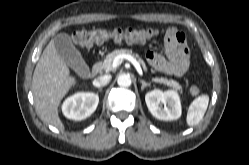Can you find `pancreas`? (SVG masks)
<instances>
[{
  "instance_id": "pancreas-1",
  "label": "pancreas",
  "mask_w": 249,
  "mask_h": 165,
  "mask_svg": "<svg viewBox=\"0 0 249 165\" xmlns=\"http://www.w3.org/2000/svg\"><path fill=\"white\" fill-rule=\"evenodd\" d=\"M122 54H127V55H131V56L136 57L138 59L139 63L142 65L143 69L145 71H147V66H146L144 60L138 54L134 53L132 50H129V49L114 50L113 52L108 54L106 56V58L104 59V61L101 63V68L105 72L112 71L113 70L112 62H113L114 58L116 56L122 55ZM152 80L155 82L170 86V87L174 88L175 90H179V91L182 90V87L179 85V83L174 81V80H168L166 78H153Z\"/></svg>"
}]
</instances>
